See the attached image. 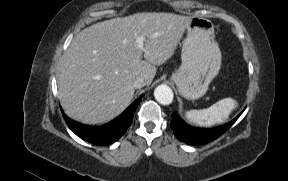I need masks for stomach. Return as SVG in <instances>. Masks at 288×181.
I'll use <instances>...</instances> for the list:
<instances>
[{
  "instance_id": "1",
  "label": "stomach",
  "mask_w": 288,
  "mask_h": 181,
  "mask_svg": "<svg viewBox=\"0 0 288 181\" xmlns=\"http://www.w3.org/2000/svg\"><path fill=\"white\" fill-rule=\"evenodd\" d=\"M181 51L182 64L172 74L179 93L198 99L208 90L221 68V51L214 40V25L206 18L191 17Z\"/></svg>"
}]
</instances>
